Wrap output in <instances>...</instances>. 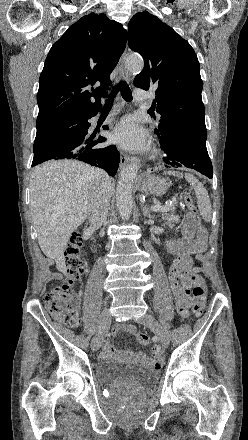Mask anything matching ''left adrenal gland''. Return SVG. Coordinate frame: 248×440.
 I'll return each mask as SVG.
<instances>
[{"instance_id": "left-adrenal-gland-1", "label": "left adrenal gland", "mask_w": 248, "mask_h": 440, "mask_svg": "<svg viewBox=\"0 0 248 440\" xmlns=\"http://www.w3.org/2000/svg\"><path fill=\"white\" fill-rule=\"evenodd\" d=\"M140 206H141L142 214L145 217L154 218V216L151 215L149 208L145 205V203L143 201H141Z\"/></svg>"}]
</instances>
